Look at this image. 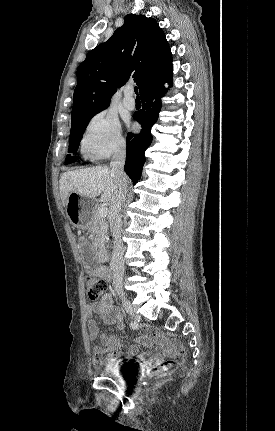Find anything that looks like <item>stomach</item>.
Returning a JSON list of instances; mask_svg holds the SVG:
<instances>
[{
    "label": "stomach",
    "instance_id": "1",
    "mask_svg": "<svg viewBox=\"0 0 275 431\" xmlns=\"http://www.w3.org/2000/svg\"><path fill=\"white\" fill-rule=\"evenodd\" d=\"M95 201L91 198L70 193L66 203V214L70 222L78 228L86 229L91 223Z\"/></svg>",
    "mask_w": 275,
    "mask_h": 431
}]
</instances>
